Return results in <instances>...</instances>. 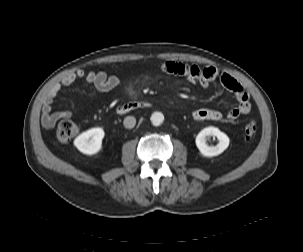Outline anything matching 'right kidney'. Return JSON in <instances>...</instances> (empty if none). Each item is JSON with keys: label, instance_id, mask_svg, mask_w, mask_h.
Listing matches in <instances>:
<instances>
[{"label": "right kidney", "instance_id": "right-kidney-1", "mask_svg": "<svg viewBox=\"0 0 303 252\" xmlns=\"http://www.w3.org/2000/svg\"><path fill=\"white\" fill-rule=\"evenodd\" d=\"M104 136L102 128H92L76 137L74 145L83 154L94 155L101 150Z\"/></svg>", "mask_w": 303, "mask_h": 252}]
</instances>
